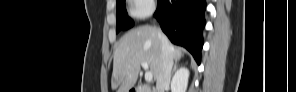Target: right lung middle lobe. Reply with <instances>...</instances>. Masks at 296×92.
Returning a JSON list of instances; mask_svg holds the SVG:
<instances>
[{"label":"right lung middle lobe","instance_id":"right-lung-middle-lobe-1","mask_svg":"<svg viewBox=\"0 0 296 92\" xmlns=\"http://www.w3.org/2000/svg\"><path fill=\"white\" fill-rule=\"evenodd\" d=\"M117 3L116 32L129 29L134 22L128 17L125 8V0H119Z\"/></svg>","mask_w":296,"mask_h":92}]
</instances>
